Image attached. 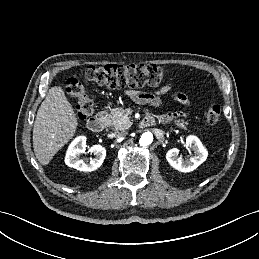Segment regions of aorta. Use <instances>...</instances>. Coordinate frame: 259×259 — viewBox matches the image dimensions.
I'll list each match as a JSON object with an SVG mask.
<instances>
[{
  "instance_id": "762f6f07",
  "label": "aorta",
  "mask_w": 259,
  "mask_h": 259,
  "mask_svg": "<svg viewBox=\"0 0 259 259\" xmlns=\"http://www.w3.org/2000/svg\"><path fill=\"white\" fill-rule=\"evenodd\" d=\"M153 141V135L151 132H145L141 135V138L139 140V143L141 146H148Z\"/></svg>"
}]
</instances>
